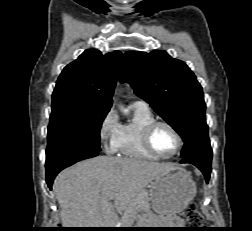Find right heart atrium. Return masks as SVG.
<instances>
[{"label": "right heart atrium", "instance_id": "d8ad5b80", "mask_svg": "<svg viewBox=\"0 0 252 231\" xmlns=\"http://www.w3.org/2000/svg\"><path fill=\"white\" fill-rule=\"evenodd\" d=\"M120 126L118 115L113 110H109L100 122L99 135L101 141L110 151H115L116 149V139Z\"/></svg>", "mask_w": 252, "mask_h": 231}]
</instances>
